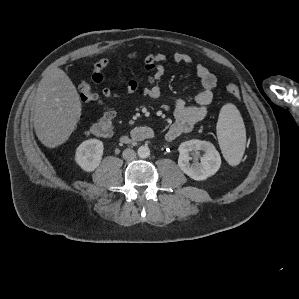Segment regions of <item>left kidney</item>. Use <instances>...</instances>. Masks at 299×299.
<instances>
[{
  "label": "left kidney",
  "mask_w": 299,
  "mask_h": 299,
  "mask_svg": "<svg viewBox=\"0 0 299 299\" xmlns=\"http://www.w3.org/2000/svg\"><path fill=\"white\" fill-rule=\"evenodd\" d=\"M178 166L190 178L201 181L214 175L221 166V157L214 145L197 139L185 141L179 146ZM204 151L200 163L190 164L189 152Z\"/></svg>",
  "instance_id": "obj_1"
}]
</instances>
